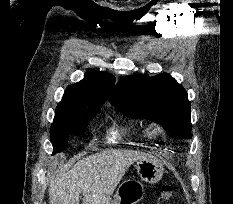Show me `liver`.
<instances>
[{
	"mask_svg": "<svg viewBox=\"0 0 233 204\" xmlns=\"http://www.w3.org/2000/svg\"><path fill=\"white\" fill-rule=\"evenodd\" d=\"M147 154L133 150H106L84 157L68 171L52 163L49 204H108L127 169Z\"/></svg>",
	"mask_w": 233,
	"mask_h": 204,
	"instance_id": "obj_1",
	"label": "liver"
}]
</instances>
